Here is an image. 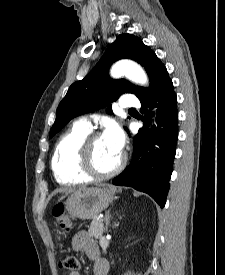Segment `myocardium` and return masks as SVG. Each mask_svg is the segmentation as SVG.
Listing matches in <instances>:
<instances>
[{"label":"myocardium","instance_id":"1","mask_svg":"<svg viewBox=\"0 0 225 275\" xmlns=\"http://www.w3.org/2000/svg\"><path fill=\"white\" fill-rule=\"evenodd\" d=\"M98 133H89L79 144L77 151V166L78 169L88 178L96 180L109 179L119 174L126 163V157L121 155L116 167L107 173L98 172L93 165L92 159V144L100 138Z\"/></svg>","mask_w":225,"mask_h":275}]
</instances>
